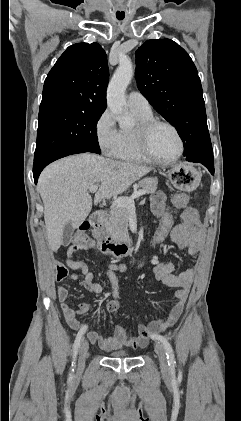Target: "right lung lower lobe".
Masks as SVG:
<instances>
[{"instance_id": "obj_1", "label": "right lung lower lobe", "mask_w": 241, "mask_h": 421, "mask_svg": "<svg viewBox=\"0 0 241 421\" xmlns=\"http://www.w3.org/2000/svg\"><path fill=\"white\" fill-rule=\"evenodd\" d=\"M83 152H86V151H80V150L70 151V152H66V153L60 154V155L53 156V157L48 158V159H45V160H41V161L34 162V166H33V176H34V181H35V183H37V180H38V177H39V175H40L41 171H42V170H43V169H44V168H45V167H46L49 163H51V162H53V161H55V160H57V159H59V158H62V157L68 156V155L77 154V153H83Z\"/></svg>"}]
</instances>
